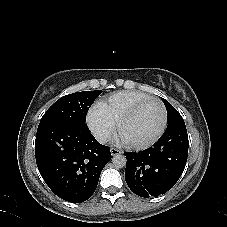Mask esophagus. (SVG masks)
<instances>
[{
  "mask_svg": "<svg viewBox=\"0 0 227 227\" xmlns=\"http://www.w3.org/2000/svg\"><path fill=\"white\" fill-rule=\"evenodd\" d=\"M121 153H122V151H120V150H118L116 148H111V155L112 156H116V155H119Z\"/></svg>",
  "mask_w": 227,
  "mask_h": 227,
  "instance_id": "34e87169",
  "label": "esophagus"
}]
</instances>
